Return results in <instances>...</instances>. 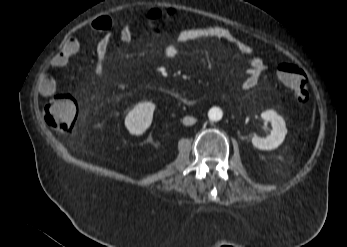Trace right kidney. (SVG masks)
<instances>
[{"label":"right kidney","instance_id":"obj_1","mask_svg":"<svg viewBox=\"0 0 347 247\" xmlns=\"http://www.w3.org/2000/svg\"><path fill=\"white\" fill-rule=\"evenodd\" d=\"M155 104L143 102L137 104L125 118V126L133 135H141L151 125Z\"/></svg>","mask_w":347,"mask_h":247}]
</instances>
